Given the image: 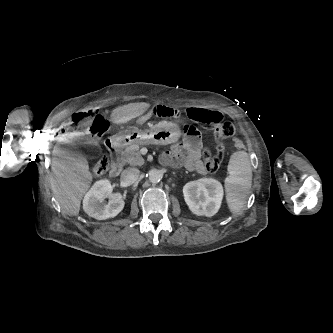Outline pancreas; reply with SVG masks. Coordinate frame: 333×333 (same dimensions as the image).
Instances as JSON below:
<instances>
[{
  "mask_svg": "<svg viewBox=\"0 0 333 333\" xmlns=\"http://www.w3.org/2000/svg\"><path fill=\"white\" fill-rule=\"evenodd\" d=\"M143 144H133L127 147L122 154V161L133 166H141L144 164V159L140 152V147Z\"/></svg>",
  "mask_w": 333,
  "mask_h": 333,
  "instance_id": "pancreas-1",
  "label": "pancreas"
}]
</instances>
